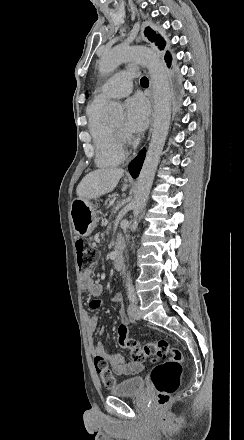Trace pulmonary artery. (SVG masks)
<instances>
[{
	"label": "pulmonary artery",
	"mask_w": 244,
	"mask_h": 440,
	"mask_svg": "<svg viewBox=\"0 0 244 440\" xmlns=\"http://www.w3.org/2000/svg\"><path fill=\"white\" fill-rule=\"evenodd\" d=\"M120 74L121 75H110L109 82H103V91H99L95 96L97 102H104L108 99L121 98L129 95L132 90L133 78L141 77L144 73L141 70L128 69L121 71Z\"/></svg>",
	"instance_id": "obj_1"
}]
</instances>
